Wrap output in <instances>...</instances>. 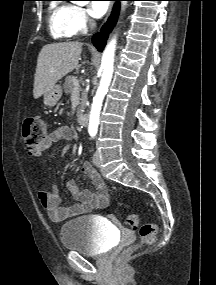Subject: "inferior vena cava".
Returning <instances> with one entry per match:
<instances>
[{"instance_id":"602c4592","label":"inferior vena cava","mask_w":216,"mask_h":285,"mask_svg":"<svg viewBox=\"0 0 216 285\" xmlns=\"http://www.w3.org/2000/svg\"><path fill=\"white\" fill-rule=\"evenodd\" d=\"M95 26H96L95 21H94V20H89V27H90L91 29H93Z\"/></svg>"}]
</instances>
